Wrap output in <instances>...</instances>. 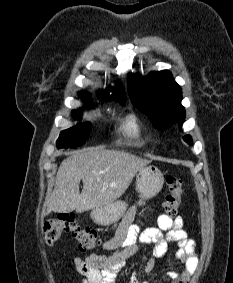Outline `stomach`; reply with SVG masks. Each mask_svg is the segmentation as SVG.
<instances>
[{"label":"stomach","mask_w":233,"mask_h":283,"mask_svg":"<svg viewBox=\"0 0 233 283\" xmlns=\"http://www.w3.org/2000/svg\"><path fill=\"white\" fill-rule=\"evenodd\" d=\"M164 177L155 166L149 165L138 170L136 189L141 197L139 205L145 200L155 197L162 189ZM127 205L123 201H115L109 205L94 208L90 216L99 225H109L119 220L126 212Z\"/></svg>","instance_id":"obj_1"}]
</instances>
